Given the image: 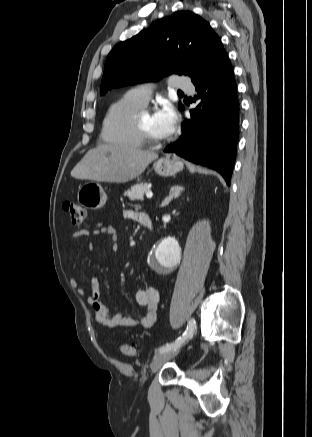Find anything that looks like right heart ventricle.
<instances>
[{
	"mask_svg": "<svg viewBox=\"0 0 312 437\" xmlns=\"http://www.w3.org/2000/svg\"><path fill=\"white\" fill-rule=\"evenodd\" d=\"M145 105L133 99L129 92L108 108L102 123V138L117 146L138 148L143 146L134 128L133 118Z\"/></svg>",
	"mask_w": 312,
	"mask_h": 437,
	"instance_id": "e07e8e85",
	"label": "right heart ventricle"
}]
</instances>
